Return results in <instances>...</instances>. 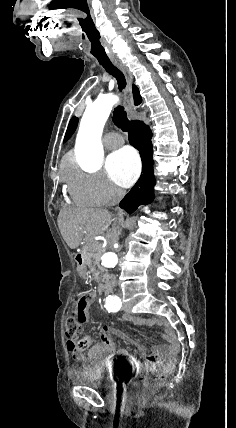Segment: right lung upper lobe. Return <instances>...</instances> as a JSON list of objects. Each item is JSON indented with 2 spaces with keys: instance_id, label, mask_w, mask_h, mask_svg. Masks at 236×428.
Masks as SVG:
<instances>
[{
  "instance_id": "obj_1",
  "label": "right lung upper lobe",
  "mask_w": 236,
  "mask_h": 428,
  "mask_svg": "<svg viewBox=\"0 0 236 428\" xmlns=\"http://www.w3.org/2000/svg\"><path fill=\"white\" fill-rule=\"evenodd\" d=\"M132 89H133L134 101H135V104L137 105V104H139L141 102L142 98H141V96L139 94L138 88L135 85H133ZM133 122L134 121H132L131 123H133Z\"/></svg>"
}]
</instances>
